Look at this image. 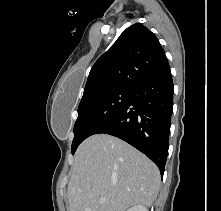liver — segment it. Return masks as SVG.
<instances>
[{"instance_id": "liver-1", "label": "liver", "mask_w": 221, "mask_h": 211, "mask_svg": "<svg viewBox=\"0 0 221 211\" xmlns=\"http://www.w3.org/2000/svg\"><path fill=\"white\" fill-rule=\"evenodd\" d=\"M160 186L157 166L134 147L96 134L78 147L68 184L69 211H125L151 206ZM100 198H106L100 203Z\"/></svg>"}]
</instances>
